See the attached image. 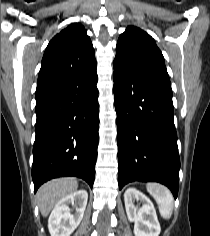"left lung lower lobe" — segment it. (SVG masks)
Instances as JSON below:
<instances>
[{
	"instance_id": "0a47b994",
	"label": "left lung lower lobe",
	"mask_w": 210,
	"mask_h": 236,
	"mask_svg": "<svg viewBox=\"0 0 210 236\" xmlns=\"http://www.w3.org/2000/svg\"><path fill=\"white\" fill-rule=\"evenodd\" d=\"M119 188L132 181L160 182L177 197L180 158L169 80L114 67Z\"/></svg>"
}]
</instances>
